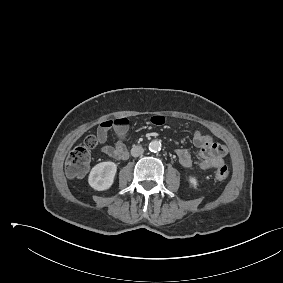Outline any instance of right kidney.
<instances>
[{
  "instance_id": "1",
  "label": "right kidney",
  "mask_w": 283,
  "mask_h": 283,
  "mask_svg": "<svg viewBox=\"0 0 283 283\" xmlns=\"http://www.w3.org/2000/svg\"><path fill=\"white\" fill-rule=\"evenodd\" d=\"M116 171L117 165L114 162H101L92 168L88 177V183L97 191L107 190L114 182Z\"/></svg>"
}]
</instances>
